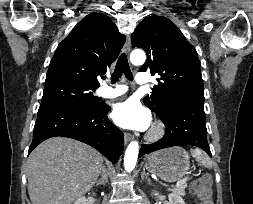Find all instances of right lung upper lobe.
<instances>
[{"instance_id":"1","label":"right lung upper lobe","mask_w":253,"mask_h":204,"mask_svg":"<svg viewBox=\"0 0 253 204\" xmlns=\"http://www.w3.org/2000/svg\"><path fill=\"white\" fill-rule=\"evenodd\" d=\"M124 43L125 36L108 16L87 15L58 45L45 83L65 81L98 88L99 75L116 60Z\"/></svg>"}]
</instances>
